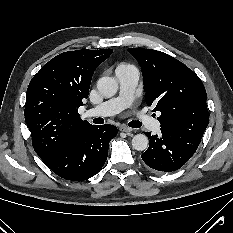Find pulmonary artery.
Returning <instances> with one entry per match:
<instances>
[{
	"instance_id": "obj_1",
	"label": "pulmonary artery",
	"mask_w": 233,
	"mask_h": 233,
	"mask_svg": "<svg viewBox=\"0 0 233 233\" xmlns=\"http://www.w3.org/2000/svg\"><path fill=\"white\" fill-rule=\"evenodd\" d=\"M116 78L119 83V93L116 97L111 98L98 106L85 111L84 116L107 117L121 112L129 107L135 98V90L139 80V73L132 66L119 67L116 69ZM140 122L147 129L157 132L160 130V123L149 115H141Z\"/></svg>"
}]
</instances>
